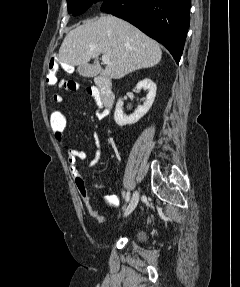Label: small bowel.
<instances>
[{
    "instance_id": "small-bowel-1",
    "label": "small bowel",
    "mask_w": 240,
    "mask_h": 287,
    "mask_svg": "<svg viewBox=\"0 0 240 287\" xmlns=\"http://www.w3.org/2000/svg\"><path fill=\"white\" fill-rule=\"evenodd\" d=\"M86 91L96 101V104L99 109L97 112L98 117L105 118L109 114V110L103 105L100 99L98 89L96 87L89 86L87 87ZM52 99L55 103L63 102V97L60 94H54L52 96ZM55 139L57 140L58 143L63 144L62 135H55ZM93 140L95 144V152H94L93 158L88 162L89 168L96 167L99 164L101 157H102L101 141H100L99 136L96 133L93 134ZM66 153H67V162H68L69 171L71 174L76 176L78 172L77 162L79 160H82V161L88 160L89 154L86 151L78 150L72 147H67ZM105 201L108 206H115L117 204L118 199L114 195H109L105 197Z\"/></svg>"
}]
</instances>
